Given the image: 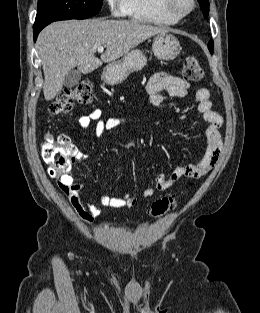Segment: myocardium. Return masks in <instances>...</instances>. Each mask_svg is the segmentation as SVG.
I'll use <instances>...</instances> for the list:
<instances>
[{
	"mask_svg": "<svg viewBox=\"0 0 260 313\" xmlns=\"http://www.w3.org/2000/svg\"><path fill=\"white\" fill-rule=\"evenodd\" d=\"M187 6L184 9H177L176 0H160L161 9L176 20H181L195 8V0H186Z\"/></svg>",
	"mask_w": 260,
	"mask_h": 313,
	"instance_id": "1",
	"label": "myocardium"
}]
</instances>
